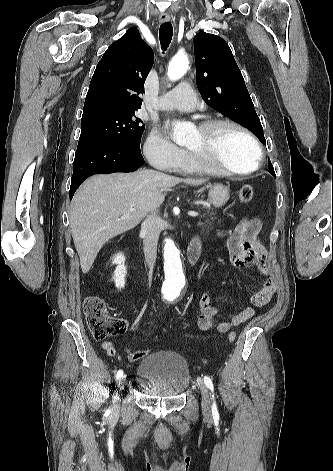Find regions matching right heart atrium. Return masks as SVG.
<instances>
[{"label": "right heart atrium", "mask_w": 333, "mask_h": 471, "mask_svg": "<svg viewBox=\"0 0 333 471\" xmlns=\"http://www.w3.org/2000/svg\"><path fill=\"white\" fill-rule=\"evenodd\" d=\"M144 153L155 168L167 172L178 170L186 160V153L158 130H152L148 135Z\"/></svg>", "instance_id": "obj_1"}]
</instances>
